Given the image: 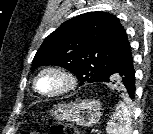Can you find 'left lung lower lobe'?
Masks as SVG:
<instances>
[{"label":"left lung lower lobe","mask_w":153,"mask_h":134,"mask_svg":"<svg viewBox=\"0 0 153 134\" xmlns=\"http://www.w3.org/2000/svg\"><path fill=\"white\" fill-rule=\"evenodd\" d=\"M120 85V92L124 95H129L134 99L135 94V69L133 66V58L129 59L121 68L114 74ZM103 82H108L105 79Z\"/></svg>","instance_id":"left-lung-lower-lobe-1"}]
</instances>
